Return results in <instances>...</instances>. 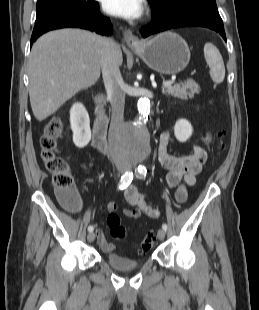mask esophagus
I'll list each match as a JSON object with an SVG mask.
<instances>
[{
    "label": "esophagus",
    "mask_w": 259,
    "mask_h": 310,
    "mask_svg": "<svg viewBox=\"0 0 259 310\" xmlns=\"http://www.w3.org/2000/svg\"><path fill=\"white\" fill-rule=\"evenodd\" d=\"M123 35H124V41L130 48L132 49L138 48L141 45V42L138 39V37L135 36L130 30L125 29L123 31Z\"/></svg>",
    "instance_id": "34e87169"
}]
</instances>
